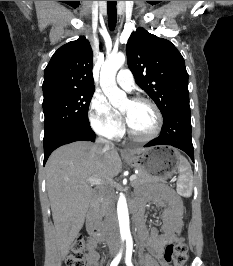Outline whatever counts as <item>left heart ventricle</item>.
<instances>
[{
    "mask_svg": "<svg viewBox=\"0 0 233 266\" xmlns=\"http://www.w3.org/2000/svg\"><path fill=\"white\" fill-rule=\"evenodd\" d=\"M120 110L135 134L145 136L153 131L156 124V116L149 104L126 100L121 105Z\"/></svg>",
    "mask_w": 233,
    "mask_h": 266,
    "instance_id": "left-heart-ventricle-1",
    "label": "left heart ventricle"
}]
</instances>
